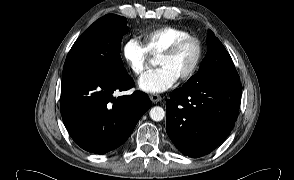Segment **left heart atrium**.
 <instances>
[{"label":"left heart atrium","mask_w":294,"mask_h":180,"mask_svg":"<svg viewBox=\"0 0 294 180\" xmlns=\"http://www.w3.org/2000/svg\"><path fill=\"white\" fill-rule=\"evenodd\" d=\"M178 78L166 67H159L140 77L139 88L147 93L157 94L170 89Z\"/></svg>","instance_id":"39dd6f15"}]
</instances>
